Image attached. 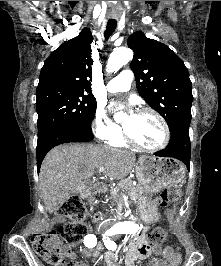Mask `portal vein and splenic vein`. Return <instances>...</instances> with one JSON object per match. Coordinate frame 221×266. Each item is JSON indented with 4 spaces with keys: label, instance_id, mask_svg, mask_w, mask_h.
<instances>
[{
    "label": "portal vein and splenic vein",
    "instance_id": "portal-vein-and-splenic-vein-1",
    "mask_svg": "<svg viewBox=\"0 0 221 266\" xmlns=\"http://www.w3.org/2000/svg\"><path fill=\"white\" fill-rule=\"evenodd\" d=\"M104 170H105L104 167H99V168H98V171H99V172H103Z\"/></svg>",
    "mask_w": 221,
    "mask_h": 266
}]
</instances>
